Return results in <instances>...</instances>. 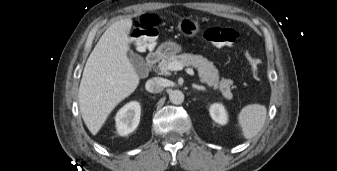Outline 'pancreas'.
I'll use <instances>...</instances> for the list:
<instances>
[{"label":"pancreas","mask_w":337,"mask_h":171,"mask_svg":"<svg viewBox=\"0 0 337 171\" xmlns=\"http://www.w3.org/2000/svg\"><path fill=\"white\" fill-rule=\"evenodd\" d=\"M171 62H179L183 65V67L192 66L197 68L201 82L206 83L208 86L214 87L215 89H219L224 98H232L230 86L233 84V81L225 78L219 80L218 70L213 65V62L203 56L184 53L162 59L158 64L161 74H169L167 66Z\"/></svg>","instance_id":"pancreas-1"}]
</instances>
